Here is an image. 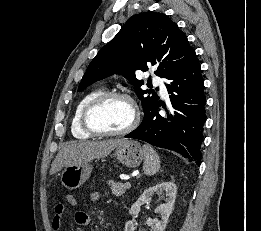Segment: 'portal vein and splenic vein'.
<instances>
[{
  "instance_id": "obj_1",
  "label": "portal vein and splenic vein",
  "mask_w": 261,
  "mask_h": 231,
  "mask_svg": "<svg viewBox=\"0 0 261 231\" xmlns=\"http://www.w3.org/2000/svg\"><path fill=\"white\" fill-rule=\"evenodd\" d=\"M126 185H130V183H129V182H126Z\"/></svg>"
}]
</instances>
